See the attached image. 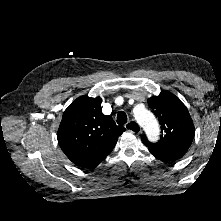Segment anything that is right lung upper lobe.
<instances>
[{
	"label": "right lung upper lobe",
	"instance_id": "1",
	"mask_svg": "<svg viewBox=\"0 0 221 221\" xmlns=\"http://www.w3.org/2000/svg\"><path fill=\"white\" fill-rule=\"evenodd\" d=\"M102 100L81 96L64 112L57 138L65 155L80 167H96L126 130L102 114Z\"/></svg>",
	"mask_w": 221,
	"mask_h": 221
}]
</instances>
